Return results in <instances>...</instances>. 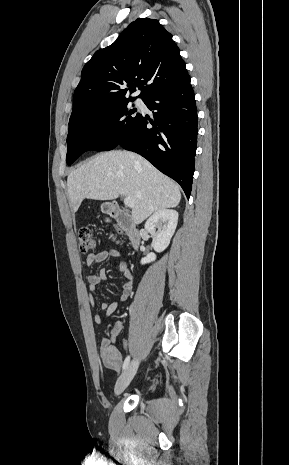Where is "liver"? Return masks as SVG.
Instances as JSON below:
<instances>
[{
	"mask_svg": "<svg viewBox=\"0 0 289 465\" xmlns=\"http://www.w3.org/2000/svg\"><path fill=\"white\" fill-rule=\"evenodd\" d=\"M67 189L73 212L84 199L113 200L120 195L134 201L132 219L140 224L153 212L176 207L179 186L143 157L114 150L96 155L72 171Z\"/></svg>",
	"mask_w": 289,
	"mask_h": 465,
	"instance_id": "obj_1",
	"label": "liver"
}]
</instances>
